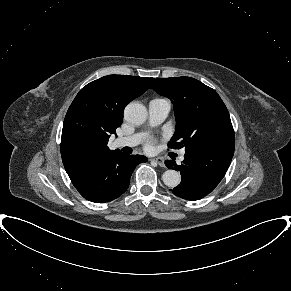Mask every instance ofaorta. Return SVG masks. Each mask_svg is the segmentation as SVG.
<instances>
[{"label":"aorta","mask_w":291,"mask_h":291,"mask_svg":"<svg viewBox=\"0 0 291 291\" xmlns=\"http://www.w3.org/2000/svg\"><path fill=\"white\" fill-rule=\"evenodd\" d=\"M124 118L129 123L140 125L147 118V109L140 103L131 102L124 109ZM162 180L166 186L174 188L180 184L181 175L176 170L168 169L163 173Z\"/></svg>","instance_id":"obj_1"}]
</instances>
